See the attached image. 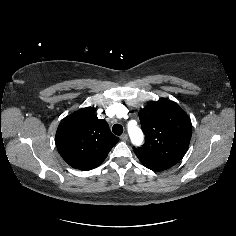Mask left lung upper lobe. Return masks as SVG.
<instances>
[{
	"label": "left lung upper lobe",
	"mask_w": 236,
	"mask_h": 236,
	"mask_svg": "<svg viewBox=\"0 0 236 236\" xmlns=\"http://www.w3.org/2000/svg\"><path fill=\"white\" fill-rule=\"evenodd\" d=\"M145 143L134 152L141 163L163 171L175 165L188 149L192 124L182 108L165 98L149 102L139 112Z\"/></svg>",
	"instance_id": "1"
}]
</instances>
